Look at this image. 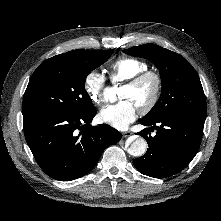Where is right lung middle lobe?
I'll use <instances>...</instances> for the list:
<instances>
[{
	"mask_svg": "<svg viewBox=\"0 0 221 221\" xmlns=\"http://www.w3.org/2000/svg\"><path fill=\"white\" fill-rule=\"evenodd\" d=\"M113 49L77 57L54 56L33 73L23 97L22 113L83 115L95 110L85 91L87 75L112 55Z\"/></svg>",
	"mask_w": 221,
	"mask_h": 221,
	"instance_id": "obj_1",
	"label": "right lung middle lobe"
}]
</instances>
